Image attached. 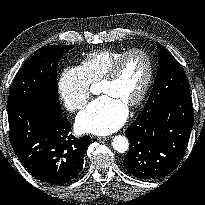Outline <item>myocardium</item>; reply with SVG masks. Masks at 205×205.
<instances>
[{"mask_svg":"<svg viewBox=\"0 0 205 205\" xmlns=\"http://www.w3.org/2000/svg\"><path fill=\"white\" fill-rule=\"evenodd\" d=\"M142 55L146 58L147 63H148V73H147V77L145 80V83L143 85V88L141 90V92L139 93V95L132 100L131 102H129L127 104L128 107H133V106H137L139 105L146 97L152 80H153V76H154V62L153 59L151 57V55L142 50V49H131L126 51L125 53H123L110 67V69L108 70V72L101 78V80L99 81V84H103L106 82H111L113 80H115L120 72V69L123 65V63L125 62V60L132 56V55Z\"/></svg>","mask_w":205,"mask_h":205,"instance_id":"f54148a6","label":"myocardium"}]
</instances>
